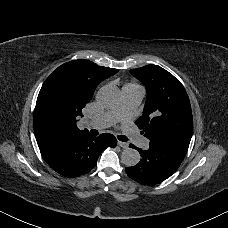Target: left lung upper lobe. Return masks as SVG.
Listing matches in <instances>:
<instances>
[{
	"instance_id": "obj_1",
	"label": "left lung upper lobe",
	"mask_w": 228,
	"mask_h": 228,
	"mask_svg": "<svg viewBox=\"0 0 228 228\" xmlns=\"http://www.w3.org/2000/svg\"><path fill=\"white\" fill-rule=\"evenodd\" d=\"M130 73L147 89L143 115L135 122L149 140L163 141L188 150L193 118L188 95L171 73L156 65Z\"/></svg>"
}]
</instances>
